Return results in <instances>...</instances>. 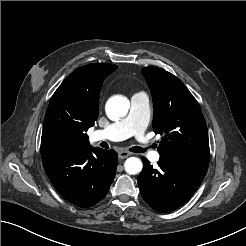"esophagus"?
<instances>
[{"mask_svg": "<svg viewBox=\"0 0 246 246\" xmlns=\"http://www.w3.org/2000/svg\"><path fill=\"white\" fill-rule=\"evenodd\" d=\"M131 155V153L127 152V151H119L118 152V157L120 159H125L127 157H129Z\"/></svg>", "mask_w": 246, "mask_h": 246, "instance_id": "esophagus-1", "label": "esophagus"}]
</instances>
